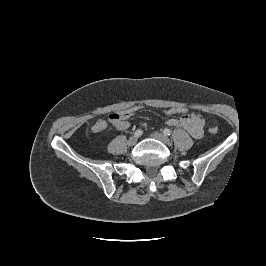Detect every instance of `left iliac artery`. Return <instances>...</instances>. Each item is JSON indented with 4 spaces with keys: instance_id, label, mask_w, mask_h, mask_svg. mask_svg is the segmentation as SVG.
Here are the masks:
<instances>
[{
    "instance_id": "left-iliac-artery-1",
    "label": "left iliac artery",
    "mask_w": 266,
    "mask_h": 266,
    "mask_svg": "<svg viewBox=\"0 0 266 266\" xmlns=\"http://www.w3.org/2000/svg\"><path fill=\"white\" fill-rule=\"evenodd\" d=\"M163 133L165 134V135H171V133H172V131L170 130V129H167V128H165L164 130H163Z\"/></svg>"
}]
</instances>
